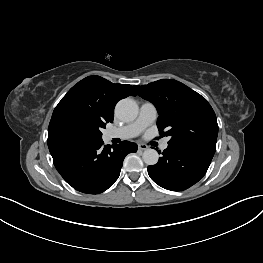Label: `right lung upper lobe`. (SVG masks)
Instances as JSON below:
<instances>
[{"instance_id":"1","label":"right lung upper lobe","mask_w":263,"mask_h":263,"mask_svg":"<svg viewBox=\"0 0 263 263\" xmlns=\"http://www.w3.org/2000/svg\"><path fill=\"white\" fill-rule=\"evenodd\" d=\"M136 93L131 85L113 84L100 76H88L73 86L53 111L48 128V147L56 149L82 144L65 130L68 119L88 115L112 122L116 103Z\"/></svg>"}]
</instances>
